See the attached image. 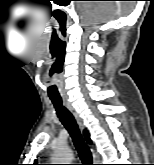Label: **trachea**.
I'll return each mask as SVG.
<instances>
[{
    "mask_svg": "<svg viewBox=\"0 0 154 165\" xmlns=\"http://www.w3.org/2000/svg\"><path fill=\"white\" fill-rule=\"evenodd\" d=\"M51 101L55 107L56 113L62 124L68 130L70 136L73 139L74 145L79 154L82 165H93L92 154L87 144L85 143L77 122L72 113L63 105L61 98H51Z\"/></svg>",
    "mask_w": 154,
    "mask_h": 165,
    "instance_id": "3493384b",
    "label": "trachea"
}]
</instances>
